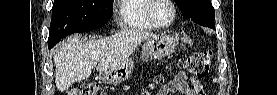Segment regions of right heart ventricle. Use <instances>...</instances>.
Here are the masks:
<instances>
[{
  "label": "right heart ventricle",
  "instance_id": "right-heart-ventricle-1",
  "mask_svg": "<svg viewBox=\"0 0 277 95\" xmlns=\"http://www.w3.org/2000/svg\"><path fill=\"white\" fill-rule=\"evenodd\" d=\"M152 0H121L118 24L125 30L153 29L155 25L147 17Z\"/></svg>",
  "mask_w": 277,
  "mask_h": 95
}]
</instances>
